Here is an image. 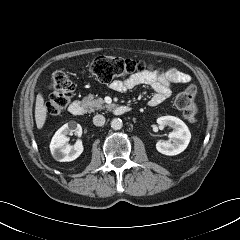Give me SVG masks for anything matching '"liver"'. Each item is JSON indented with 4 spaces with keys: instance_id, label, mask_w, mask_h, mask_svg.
<instances>
[{
    "instance_id": "obj_1",
    "label": "liver",
    "mask_w": 240,
    "mask_h": 240,
    "mask_svg": "<svg viewBox=\"0 0 240 240\" xmlns=\"http://www.w3.org/2000/svg\"><path fill=\"white\" fill-rule=\"evenodd\" d=\"M47 117V108L44 105V98L39 94L36 98L35 105V121L38 129H41L46 121Z\"/></svg>"
}]
</instances>
